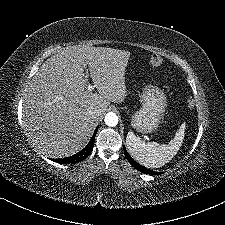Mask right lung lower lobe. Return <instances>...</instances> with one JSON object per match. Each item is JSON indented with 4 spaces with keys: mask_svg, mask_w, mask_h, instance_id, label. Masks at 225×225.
Returning a JSON list of instances; mask_svg holds the SVG:
<instances>
[{
    "mask_svg": "<svg viewBox=\"0 0 225 225\" xmlns=\"http://www.w3.org/2000/svg\"><path fill=\"white\" fill-rule=\"evenodd\" d=\"M97 129L95 130L90 142L87 144V146L82 149L80 152L76 153L73 156L67 157V158H62V159H54V161L58 163H78L84 160L88 155L92 152L93 146H94V141H95V136L97 133Z\"/></svg>",
    "mask_w": 225,
    "mask_h": 225,
    "instance_id": "right-lung-lower-lobe-1",
    "label": "right lung lower lobe"
}]
</instances>
